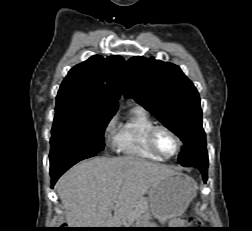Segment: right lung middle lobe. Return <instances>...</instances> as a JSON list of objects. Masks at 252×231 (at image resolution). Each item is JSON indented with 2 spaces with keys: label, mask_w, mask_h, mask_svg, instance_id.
<instances>
[{
  "label": "right lung middle lobe",
  "mask_w": 252,
  "mask_h": 231,
  "mask_svg": "<svg viewBox=\"0 0 252 231\" xmlns=\"http://www.w3.org/2000/svg\"><path fill=\"white\" fill-rule=\"evenodd\" d=\"M114 111L79 106H56L51 131L50 164L104 148V131Z\"/></svg>",
  "instance_id": "dd1d6c3e"
}]
</instances>
